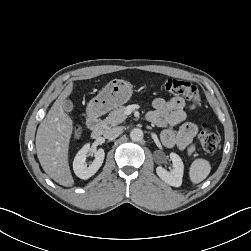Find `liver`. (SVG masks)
<instances>
[{
    "label": "liver",
    "instance_id": "liver-1",
    "mask_svg": "<svg viewBox=\"0 0 251 251\" xmlns=\"http://www.w3.org/2000/svg\"><path fill=\"white\" fill-rule=\"evenodd\" d=\"M72 91L71 82L54 102L36 133V152L43 170L55 182L65 187L74 184L68 161L73 121L65 113L62 103Z\"/></svg>",
    "mask_w": 251,
    "mask_h": 251
}]
</instances>
